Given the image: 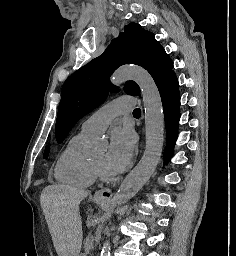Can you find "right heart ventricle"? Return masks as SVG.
Returning <instances> with one entry per match:
<instances>
[{
	"label": "right heart ventricle",
	"instance_id": "right-heart-ventricle-1",
	"mask_svg": "<svg viewBox=\"0 0 236 256\" xmlns=\"http://www.w3.org/2000/svg\"><path fill=\"white\" fill-rule=\"evenodd\" d=\"M88 137L79 133L69 141L56 162L54 175L57 182L78 188L94 184L97 174L93 163L82 154V145Z\"/></svg>",
	"mask_w": 236,
	"mask_h": 256
}]
</instances>
